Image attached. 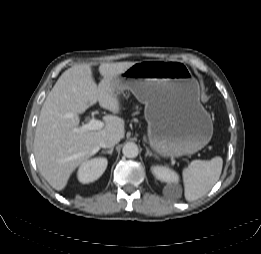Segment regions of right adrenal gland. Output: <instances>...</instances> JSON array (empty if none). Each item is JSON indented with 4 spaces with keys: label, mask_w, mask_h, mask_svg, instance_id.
Segmentation results:
<instances>
[{
    "label": "right adrenal gland",
    "mask_w": 261,
    "mask_h": 254,
    "mask_svg": "<svg viewBox=\"0 0 261 254\" xmlns=\"http://www.w3.org/2000/svg\"><path fill=\"white\" fill-rule=\"evenodd\" d=\"M113 150H114V148L112 147V148H110V149H108V150H105V151H102V153H104V154H112V152H113Z\"/></svg>",
    "instance_id": "right-adrenal-gland-1"
}]
</instances>
